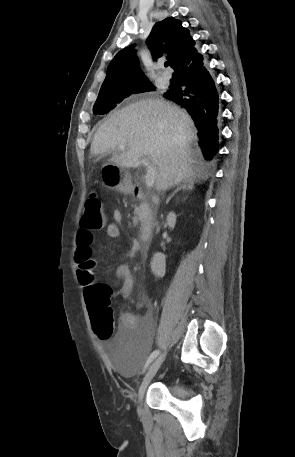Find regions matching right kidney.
<instances>
[{"label":"right kidney","mask_w":295,"mask_h":457,"mask_svg":"<svg viewBox=\"0 0 295 457\" xmlns=\"http://www.w3.org/2000/svg\"><path fill=\"white\" fill-rule=\"evenodd\" d=\"M167 225L170 228H174L175 223H176V215L173 212H170L167 216ZM165 255L162 253H156L154 254L152 261H151V270L152 273L159 277L162 278L165 275V269H166V260H165Z\"/></svg>","instance_id":"1"}]
</instances>
